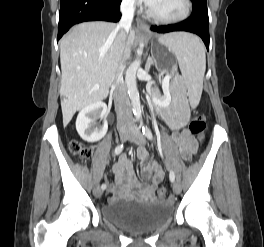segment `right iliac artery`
I'll use <instances>...</instances> for the list:
<instances>
[{
    "instance_id": "82829eb1",
    "label": "right iliac artery",
    "mask_w": 264,
    "mask_h": 247,
    "mask_svg": "<svg viewBox=\"0 0 264 247\" xmlns=\"http://www.w3.org/2000/svg\"><path fill=\"white\" fill-rule=\"evenodd\" d=\"M123 148H124V145L123 144H121V145H118L116 148H115V154L116 155H119L122 151H123ZM106 184H102V186H101V189L102 190H105L106 189Z\"/></svg>"
}]
</instances>
